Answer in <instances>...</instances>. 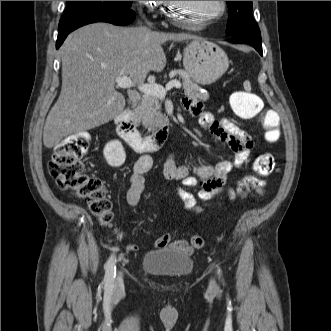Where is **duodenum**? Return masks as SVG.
Masks as SVG:
<instances>
[{
  "mask_svg": "<svg viewBox=\"0 0 331 331\" xmlns=\"http://www.w3.org/2000/svg\"><path fill=\"white\" fill-rule=\"evenodd\" d=\"M118 136L138 153L159 149L167 139L170 123L162 124L153 134L142 136L132 120L131 107L125 108L115 118Z\"/></svg>",
  "mask_w": 331,
  "mask_h": 331,
  "instance_id": "410a0bca",
  "label": "duodenum"
}]
</instances>
